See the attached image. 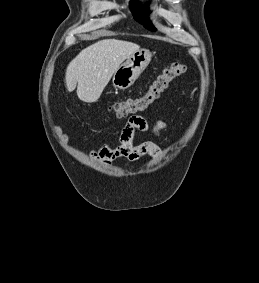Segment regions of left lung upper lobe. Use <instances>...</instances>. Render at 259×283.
<instances>
[{
    "label": "left lung upper lobe",
    "instance_id": "obj_1",
    "mask_svg": "<svg viewBox=\"0 0 259 283\" xmlns=\"http://www.w3.org/2000/svg\"><path fill=\"white\" fill-rule=\"evenodd\" d=\"M139 6H140V3L137 1L130 2V8L134 15L135 20L143 24L147 29L151 31H155L156 28L152 25V23L148 19L147 6L146 5L143 6L142 9H140Z\"/></svg>",
    "mask_w": 259,
    "mask_h": 283
}]
</instances>
